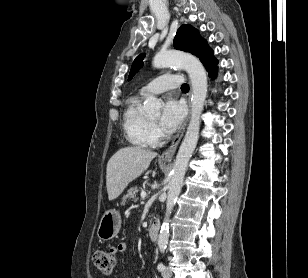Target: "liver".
I'll return each instance as SVG.
<instances>
[{"mask_svg": "<svg viewBox=\"0 0 308 278\" xmlns=\"http://www.w3.org/2000/svg\"><path fill=\"white\" fill-rule=\"evenodd\" d=\"M156 152L141 147H125L118 150L108 161L106 188L110 201L121 195L128 184L146 171Z\"/></svg>", "mask_w": 308, "mask_h": 278, "instance_id": "obj_1", "label": "liver"}]
</instances>
